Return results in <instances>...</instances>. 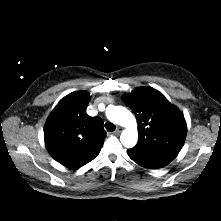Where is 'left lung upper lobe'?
I'll list each match as a JSON object with an SVG mask.
<instances>
[{"instance_id": "left-lung-upper-lobe-1", "label": "left lung upper lobe", "mask_w": 221, "mask_h": 221, "mask_svg": "<svg viewBox=\"0 0 221 221\" xmlns=\"http://www.w3.org/2000/svg\"><path fill=\"white\" fill-rule=\"evenodd\" d=\"M138 121L139 140L128 155L173 160L183 147L187 126L183 114L159 91L140 87L123 96Z\"/></svg>"}]
</instances>
